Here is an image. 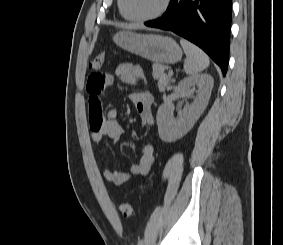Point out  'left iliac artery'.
Here are the masks:
<instances>
[{"label":"left iliac artery","instance_id":"1","mask_svg":"<svg viewBox=\"0 0 283 245\" xmlns=\"http://www.w3.org/2000/svg\"><path fill=\"white\" fill-rule=\"evenodd\" d=\"M143 244H144V241H143V239H141V240H139L137 245H143Z\"/></svg>","mask_w":283,"mask_h":245}]
</instances>
